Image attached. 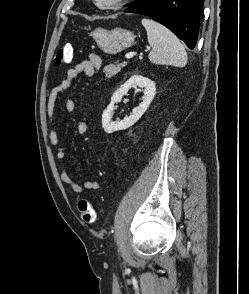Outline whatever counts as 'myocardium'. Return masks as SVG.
Here are the masks:
<instances>
[{
    "instance_id": "1",
    "label": "myocardium",
    "mask_w": 249,
    "mask_h": 294,
    "mask_svg": "<svg viewBox=\"0 0 249 294\" xmlns=\"http://www.w3.org/2000/svg\"><path fill=\"white\" fill-rule=\"evenodd\" d=\"M130 0H115L111 3H100L98 0H93L95 5L103 10H118L124 7Z\"/></svg>"
}]
</instances>
